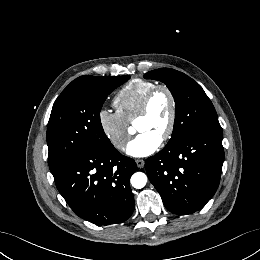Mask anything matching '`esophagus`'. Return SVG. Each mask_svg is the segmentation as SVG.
Here are the masks:
<instances>
[{
    "label": "esophagus",
    "mask_w": 260,
    "mask_h": 260,
    "mask_svg": "<svg viewBox=\"0 0 260 260\" xmlns=\"http://www.w3.org/2000/svg\"><path fill=\"white\" fill-rule=\"evenodd\" d=\"M135 161H136L138 168H142L144 166V160L136 159Z\"/></svg>",
    "instance_id": "34e87169"
}]
</instances>
